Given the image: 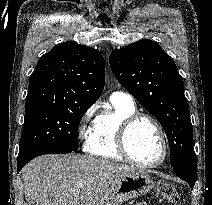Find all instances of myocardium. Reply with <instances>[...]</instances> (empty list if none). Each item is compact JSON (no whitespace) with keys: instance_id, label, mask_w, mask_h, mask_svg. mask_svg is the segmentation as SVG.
<instances>
[{"instance_id":"1","label":"myocardium","mask_w":212,"mask_h":205,"mask_svg":"<svg viewBox=\"0 0 212 205\" xmlns=\"http://www.w3.org/2000/svg\"><path fill=\"white\" fill-rule=\"evenodd\" d=\"M148 120L149 122L152 123V125L156 128L160 139H161V144H162V154L161 157L155 161V162H150V163H145L138 161L135 159L132 154L130 153L128 149V144H127V138L130 129L132 126L138 122L139 120ZM116 145L119 153L129 162L139 166V167H144V168H153L161 165L168 154V142L166 138V134L161 126V124L155 119L153 116L146 114V113H140V112H135L129 116H127L119 125L118 130H117V135H116Z\"/></svg>"}]
</instances>
